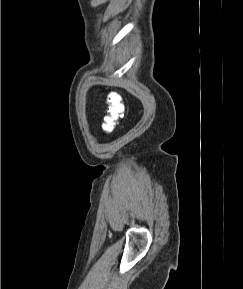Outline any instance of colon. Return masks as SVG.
<instances>
[{
    "label": "colon",
    "instance_id": "obj_1",
    "mask_svg": "<svg viewBox=\"0 0 243 289\" xmlns=\"http://www.w3.org/2000/svg\"><path fill=\"white\" fill-rule=\"evenodd\" d=\"M107 115L105 116L102 129L106 134H110L116 127L119 118L123 115L125 107L123 98L118 92H111L107 96Z\"/></svg>",
    "mask_w": 243,
    "mask_h": 289
}]
</instances>
